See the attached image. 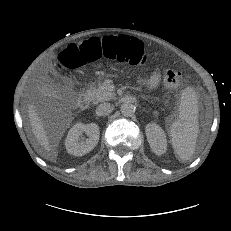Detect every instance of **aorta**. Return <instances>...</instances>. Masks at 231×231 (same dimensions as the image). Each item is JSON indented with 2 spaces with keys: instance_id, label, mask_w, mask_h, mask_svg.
Segmentation results:
<instances>
[{
  "instance_id": "aorta-1",
  "label": "aorta",
  "mask_w": 231,
  "mask_h": 231,
  "mask_svg": "<svg viewBox=\"0 0 231 231\" xmlns=\"http://www.w3.org/2000/svg\"><path fill=\"white\" fill-rule=\"evenodd\" d=\"M120 110L124 116H131L134 113V106L129 103H124L121 105Z\"/></svg>"
}]
</instances>
